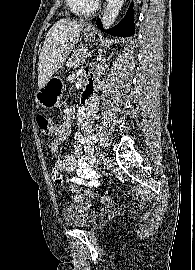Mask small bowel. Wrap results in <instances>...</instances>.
<instances>
[{"mask_svg":"<svg viewBox=\"0 0 195 270\" xmlns=\"http://www.w3.org/2000/svg\"><path fill=\"white\" fill-rule=\"evenodd\" d=\"M87 82L94 81L92 74H86ZM96 99L90 105L81 106L77 110L76 120L78 130L74 135V153L64 159L58 158L60 143L67 140L71 134L73 111L69 105L63 109L61 123L55 125L54 139L49 143V150L57 157L51 171L52 180L60 187L62 197L67 198L68 193L61 187L64 183L70 184V190L75 194L72 199L82 202L84 194L79 187L91 188L100 185V174L94 169L95 153L93 145L95 134L92 122L95 116ZM62 173H74L64 176Z\"/></svg>","mask_w":195,"mask_h":270,"instance_id":"1","label":"small bowel"}]
</instances>
